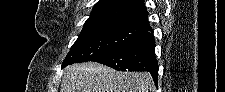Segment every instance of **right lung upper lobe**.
<instances>
[{
    "label": "right lung upper lobe",
    "instance_id": "right-lung-upper-lobe-1",
    "mask_svg": "<svg viewBox=\"0 0 225 92\" xmlns=\"http://www.w3.org/2000/svg\"><path fill=\"white\" fill-rule=\"evenodd\" d=\"M96 23H120L144 33L152 31L143 0H100L94 5L84 25Z\"/></svg>",
    "mask_w": 225,
    "mask_h": 92
}]
</instances>
